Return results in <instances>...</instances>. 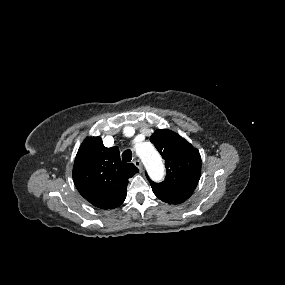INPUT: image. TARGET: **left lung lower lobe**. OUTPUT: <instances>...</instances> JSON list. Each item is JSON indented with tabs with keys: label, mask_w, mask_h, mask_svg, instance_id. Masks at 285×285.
Instances as JSON below:
<instances>
[{
	"label": "left lung lower lobe",
	"mask_w": 285,
	"mask_h": 285,
	"mask_svg": "<svg viewBox=\"0 0 285 285\" xmlns=\"http://www.w3.org/2000/svg\"><path fill=\"white\" fill-rule=\"evenodd\" d=\"M154 194L162 201L169 204H179L187 200L192 193L181 191L165 189L156 186H151Z\"/></svg>",
	"instance_id": "0a47b994"
}]
</instances>
